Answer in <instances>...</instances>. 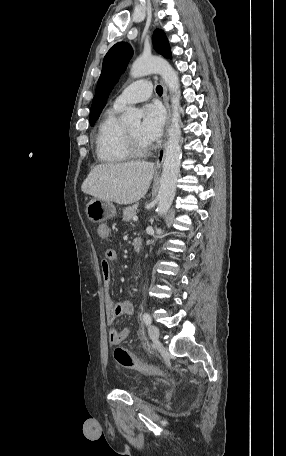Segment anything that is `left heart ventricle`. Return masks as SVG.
<instances>
[{"instance_id":"1","label":"left heart ventricle","mask_w":286,"mask_h":456,"mask_svg":"<svg viewBox=\"0 0 286 456\" xmlns=\"http://www.w3.org/2000/svg\"><path fill=\"white\" fill-rule=\"evenodd\" d=\"M127 129L129 132L133 135V137L136 139V141L142 145V146H147L149 143H147L141 136H140V124H134L131 126H128Z\"/></svg>"}]
</instances>
